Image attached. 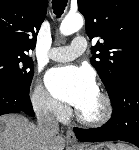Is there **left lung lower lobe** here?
<instances>
[{
	"mask_svg": "<svg viewBox=\"0 0 139 150\" xmlns=\"http://www.w3.org/2000/svg\"><path fill=\"white\" fill-rule=\"evenodd\" d=\"M113 113L106 125L99 128H74L82 142L121 140L139 147V68L119 83L110 97Z\"/></svg>",
	"mask_w": 139,
	"mask_h": 150,
	"instance_id": "1",
	"label": "left lung lower lobe"
}]
</instances>
